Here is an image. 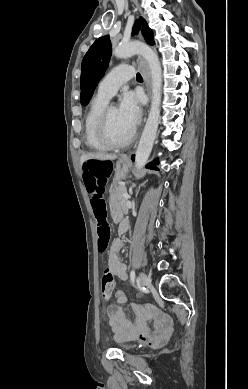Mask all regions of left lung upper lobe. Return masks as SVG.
Here are the masks:
<instances>
[{"label":"left lung upper lobe","mask_w":248,"mask_h":389,"mask_svg":"<svg viewBox=\"0 0 248 389\" xmlns=\"http://www.w3.org/2000/svg\"><path fill=\"white\" fill-rule=\"evenodd\" d=\"M138 30H142V35L148 44H154L153 32L142 17L136 22L133 33H137ZM110 56L111 43L108 35L97 39L84 56L80 82L82 105L89 103L97 84L108 67Z\"/></svg>","instance_id":"left-lung-upper-lobe-1"}]
</instances>
